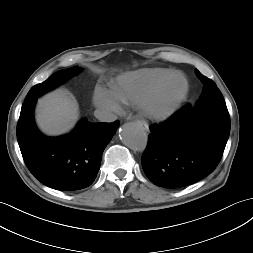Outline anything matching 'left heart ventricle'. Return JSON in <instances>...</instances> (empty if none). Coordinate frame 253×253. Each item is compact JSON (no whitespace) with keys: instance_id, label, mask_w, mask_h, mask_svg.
I'll list each match as a JSON object with an SVG mask.
<instances>
[{"instance_id":"left-heart-ventricle-1","label":"left heart ventricle","mask_w":253,"mask_h":253,"mask_svg":"<svg viewBox=\"0 0 253 253\" xmlns=\"http://www.w3.org/2000/svg\"><path fill=\"white\" fill-rule=\"evenodd\" d=\"M182 86L183 82L181 80H177L168 91L167 97L175 95L182 88Z\"/></svg>"}]
</instances>
